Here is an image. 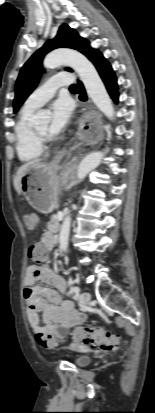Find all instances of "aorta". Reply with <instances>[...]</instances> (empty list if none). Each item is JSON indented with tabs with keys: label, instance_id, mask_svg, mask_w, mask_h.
<instances>
[{
	"label": "aorta",
	"instance_id": "762f6f07",
	"mask_svg": "<svg viewBox=\"0 0 155 413\" xmlns=\"http://www.w3.org/2000/svg\"><path fill=\"white\" fill-rule=\"evenodd\" d=\"M62 64L69 65L80 77L83 82L88 96L94 102L96 107L110 120L114 119V108L112 101L106 91V88L95 69L94 65L81 53L71 49H57L49 53L43 62L47 69H54ZM44 111L36 113L35 122L45 117ZM104 153L100 151L92 152L85 156L80 162L77 169V180L82 181L86 175L94 170L102 161ZM71 227L70 215L64 218L61 225L59 244L60 249L67 251L69 234Z\"/></svg>",
	"mask_w": 155,
	"mask_h": 413
}]
</instances>
